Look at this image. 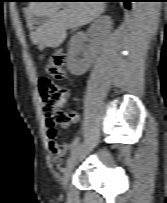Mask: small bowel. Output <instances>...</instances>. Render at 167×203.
Instances as JSON below:
<instances>
[{"label":"small bowel","instance_id":"small-bowel-1","mask_svg":"<svg viewBox=\"0 0 167 203\" xmlns=\"http://www.w3.org/2000/svg\"><path fill=\"white\" fill-rule=\"evenodd\" d=\"M79 121V116L78 114H74L73 116V123H78ZM56 133L49 130L48 128V138H49V147L50 150L56 160H62L66 154L69 152L71 149V146L69 144H59L56 140Z\"/></svg>","mask_w":167,"mask_h":203}]
</instances>
